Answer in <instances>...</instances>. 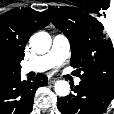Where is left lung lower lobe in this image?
I'll list each match as a JSON object with an SVG mask.
<instances>
[{
    "mask_svg": "<svg viewBox=\"0 0 114 114\" xmlns=\"http://www.w3.org/2000/svg\"><path fill=\"white\" fill-rule=\"evenodd\" d=\"M72 91L57 100L62 114H103L114 96V86L94 80L81 79Z\"/></svg>",
    "mask_w": 114,
    "mask_h": 114,
    "instance_id": "obj_1",
    "label": "left lung lower lobe"
}]
</instances>
